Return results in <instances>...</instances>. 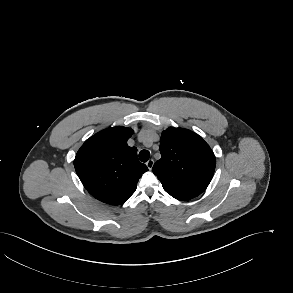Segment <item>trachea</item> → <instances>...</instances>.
Listing matches in <instances>:
<instances>
[{"label": "trachea", "mask_w": 293, "mask_h": 293, "mask_svg": "<svg viewBox=\"0 0 293 293\" xmlns=\"http://www.w3.org/2000/svg\"><path fill=\"white\" fill-rule=\"evenodd\" d=\"M150 157V152L148 150H141L139 153V158L142 162H147Z\"/></svg>", "instance_id": "obj_1"}]
</instances>
